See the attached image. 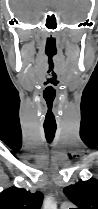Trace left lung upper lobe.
I'll return each instance as SVG.
<instances>
[{"mask_svg":"<svg viewBox=\"0 0 98 209\" xmlns=\"http://www.w3.org/2000/svg\"><path fill=\"white\" fill-rule=\"evenodd\" d=\"M64 193L78 209H98V180L91 178L64 188Z\"/></svg>","mask_w":98,"mask_h":209,"instance_id":"5c2ea615","label":"left lung upper lobe"}]
</instances>
